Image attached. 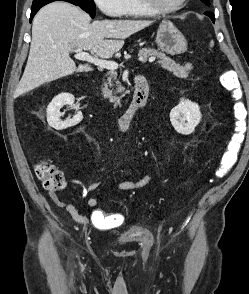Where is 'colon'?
<instances>
[{
  "label": "colon",
  "instance_id": "colon-1",
  "mask_svg": "<svg viewBox=\"0 0 249 294\" xmlns=\"http://www.w3.org/2000/svg\"><path fill=\"white\" fill-rule=\"evenodd\" d=\"M225 75L226 73L220 75V82L232 100L234 128L229 150L223 155L218 168L215 170L216 178L225 176L234 165L237 151L244 138L245 127V109L241 101V89L234 79L227 80ZM35 173L47 190L58 191L65 188L67 184L63 172L49 161L42 160L38 162L35 166Z\"/></svg>",
  "mask_w": 249,
  "mask_h": 294
}]
</instances>
